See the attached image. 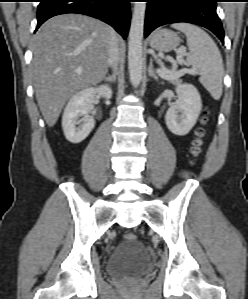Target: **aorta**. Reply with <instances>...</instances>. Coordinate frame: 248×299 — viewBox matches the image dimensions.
Wrapping results in <instances>:
<instances>
[{
	"label": "aorta",
	"mask_w": 248,
	"mask_h": 299,
	"mask_svg": "<svg viewBox=\"0 0 248 299\" xmlns=\"http://www.w3.org/2000/svg\"><path fill=\"white\" fill-rule=\"evenodd\" d=\"M145 2H135L128 42V68L131 83L137 87L142 79V40L145 21Z\"/></svg>",
	"instance_id": "obj_1"
}]
</instances>
